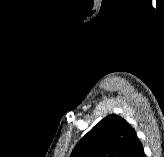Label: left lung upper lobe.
<instances>
[{
  "instance_id": "5c2ea615",
  "label": "left lung upper lobe",
  "mask_w": 164,
  "mask_h": 157,
  "mask_svg": "<svg viewBox=\"0 0 164 157\" xmlns=\"http://www.w3.org/2000/svg\"><path fill=\"white\" fill-rule=\"evenodd\" d=\"M135 136L126 120L110 114L78 142L69 157H123Z\"/></svg>"
}]
</instances>
